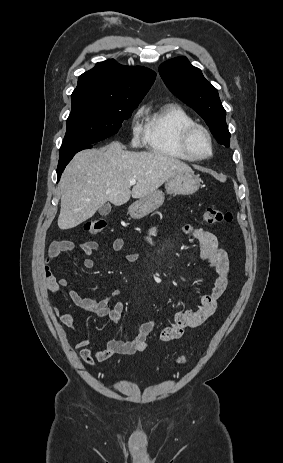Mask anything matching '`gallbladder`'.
I'll use <instances>...</instances> for the list:
<instances>
[{"label": "gallbladder", "instance_id": "obj_1", "mask_svg": "<svg viewBox=\"0 0 283 463\" xmlns=\"http://www.w3.org/2000/svg\"><path fill=\"white\" fill-rule=\"evenodd\" d=\"M98 211L101 215H108L111 212V205L109 203H105L99 207Z\"/></svg>", "mask_w": 283, "mask_h": 463}]
</instances>
